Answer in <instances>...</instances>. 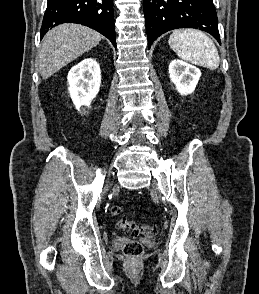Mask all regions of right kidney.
I'll use <instances>...</instances> for the list:
<instances>
[{
    "label": "right kidney",
    "instance_id": "right-kidney-1",
    "mask_svg": "<svg viewBox=\"0 0 259 294\" xmlns=\"http://www.w3.org/2000/svg\"><path fill=\"white\" fill-rule=\"evenodd\" d=\"M70 97L77 110L86 111L100 89L101 72L99 64L87 58L71 68L68 73Z\"/></svg>",
    "mask_w": 259,
    "mask_h": 294
}]
</instances>
